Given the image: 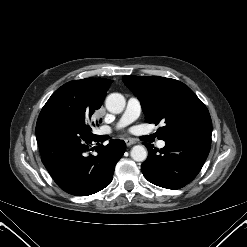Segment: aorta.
<instances>
[{
    "instance_id": "aorta-1",
    "label": "aorta",
    "mask_w": 247,
    "mask_h": 247,
    "mask_svg": "<svg viewBox=\"0 0 247 247\" xmlns=\"http://www.w3.org/2000/svg\"><path fill=\"white\" fill-rule=\"evenodd\" d=\"M106 108L109 112L114 114L121 113L126 105V100L124 96L120 93H112L106 98ZM131 158L137 162H143L147 158V150L142 145H136L131 149Z\"/></svg>"
}]
</instances>
